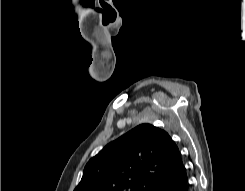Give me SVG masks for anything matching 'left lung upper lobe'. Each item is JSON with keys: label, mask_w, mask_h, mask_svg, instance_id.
<instances>
[{"label": "left lung upper lobe", "mask_w": 245, "mask_h": 191, "mask_svg": "<svg viewBox=\"0 0 245 191\" xmlns=\"http://www.w3.org/2000/svg\"><path fill=\"white\" fill-rule=\"evenodd\" d=\"M179 158L166 131L140 124L89 160L74 191H154Z\"/></svg>", "instance_id": "left-lung-upper-lobe-1"}]
</instances>
